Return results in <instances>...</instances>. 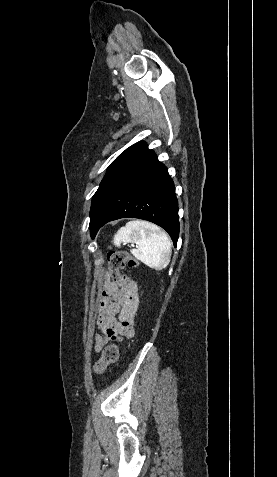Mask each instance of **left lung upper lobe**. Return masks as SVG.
I'll list each match as a JSON object with an SVG mask.
<instances>
[{
	"mask_svg": "<svg viewBox=\"0 0 277 477\" xmlns=\"http://www.w3.org/2000/svg\"><path fill=\"white\" fill-rule=\"evenodd\" d=\"M146 143L143 142V141H140V142H137L135 144H133L132 146H130L129 148H127L123 153H121L113 162L112 164L109 166L108 168V171L105 175V177L103 178L102 182L100 183V186L98 188V190L96 191V193L94 194L93 198H92V204H91V210H90V217L91 215L93 214V211L95 209V205H96V202H97V199H98V196L101 192V190L103 189L106 181L108 180V178L112 175V173L124 162L126 161L132 154H134L137 150H139L141 147H143Z\"/></svg>",
	"mask_w": 277,
	"mask_h": 477,
	"instance_id": "5c2ea615",
	"label": "left lung upper lobe"
}]
</instances>
